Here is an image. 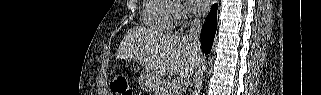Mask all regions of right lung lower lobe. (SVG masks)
<instances>
[{"label": "right lung lower lobe", "instance_id": "right-lung-lower-lobe-1", "mask_svg": "<svg viewBox=\"0 0 321 95\" xmlns=\"http://www.w3.org/2000/svg\"><path fill=\"white\" fill-rule=\"evenodd\" d=\"M216 15H217V5L214 4L201 30V45L205 54H208L210 52L213 44V39L217 29Z\"/></svg>", "mask_w": 321, "mask_h": 95}]
</instances>
